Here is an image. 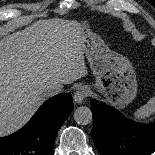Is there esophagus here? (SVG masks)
I'll return each mask as SVG.
<instances>
[{
	"label": "esophagus",
	"mask_w": 155,
	"mask_h": 155,
	"mask_svg": "<svg viewBox=\"0 0 155 155\" xmlns=\"http://www.w3.org/2000/svg\"><path fill=\"white\" fill-rule=\"evenodd\" d=\"M89 90L86 87H79L73 96L76 104H80L87 97Z\"/></svg>",
	"instance_id": "obj_1"
}]
</instances>
